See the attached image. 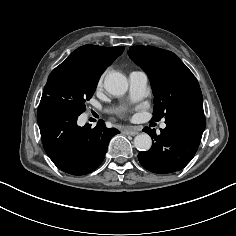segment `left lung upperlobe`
<instances>
[{
    "label": "left lung upper lobe",
    "instance_id": "5c2ea615",
    "mask_svg": "<svg viewBox=\"0 0 236 236\" xmlns=\"http://www.w3.org/2000/svg\"><path fill=\"white\" fill-rule=\"evenodd\" d=\"M128 54L150 79L154 94L152 120L187 107L203 108L197 79L174 53L152 46H132Z\"/></svg>",
    "mask_w": 236,
    "mask_h": 236
}]
</instances>
